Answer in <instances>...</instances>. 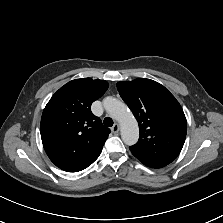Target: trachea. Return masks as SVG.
Segmentation results:
<instances>
[{"instance_id": "trachea-1", "label": "trachea", "mask_w": 223, "mask_h": 223, "mask_svg": "<svg viewBox=\"0 0 223 223\" xmlns=\"http://www.w3.org/2000/svg\"><path fill=\"white\" fill-rule=\"evenodd\" d=\"M104 125L107 127H111L113 125V120L110 117H106L103 121Z\"/></svg>"}]
</instances>
